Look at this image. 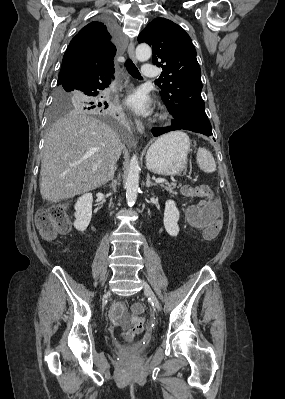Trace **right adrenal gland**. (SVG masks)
<instances>
[{"instance_id":"right-adrenal-gland-1","label":"right adrenal gland","mask_w":285,"mask_h":399,"mask_svg":"<svg viewBox=\"0 0 285 399\" xmlns=\"http://www.w3.org/2000/svg\"><path fill=\"white\" fill-rule=\"evenodd\" d=\"M116 168H117V167L115 166V167L110 171V174L108 175V178H107V182L114 179V174H115Z\"/></svg>"}]
</instances>
